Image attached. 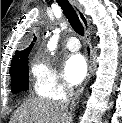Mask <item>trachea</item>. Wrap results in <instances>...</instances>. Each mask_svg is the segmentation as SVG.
Here are the masks:
<instances>
[{"label":"trachea","mask_w":122,"mask_h":123,"mask_svg":"<svg viewBox=\"0 0 122 123\" xmlns=\"http://www.w3.org/2000/svg\"><path fill=\"white\" fill-rule=\"evenodd\" d=\"M57 3L62 8L73 30L77 34L84 36V27L82 23L80 22V19L77 13L75 12L74 8L69 3V1L68 0H57Z\"/></svg>","instance_id":"1"}]
</instances>
